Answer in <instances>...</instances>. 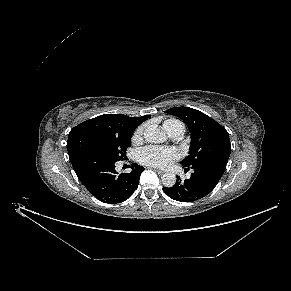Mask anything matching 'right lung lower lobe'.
Segmentation results:
<instances>
[{
    "mask_svg": "<svg viewBox=\"0 0 291 291\" xmlns=\"http://www.w3.org/2000/svg\"><path fill=\"white\" fill-rule=\"evenodd\" d=\"M81 183L98 200L120 203L137 189L144 167L132 164L130 173L118 174L116 160L95 152H83L70 158Z\"/></svg>",
    "mask_w": 291,
    "mask_h": 291,
    "instance_id": "98d812e1",
    "label": "right lung lower lobe"
}]
</instances>
